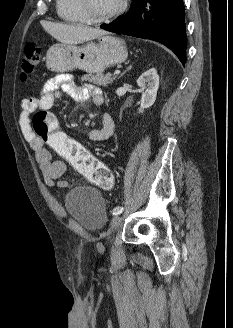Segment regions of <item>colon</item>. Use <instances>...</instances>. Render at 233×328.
I'll use <instances>...</instances> for the list:
<instances>
[{
  "instance_id": "1",
  "label": "colon",
  "mask_w": 233,
  "mask_h": 328,
  "mask_svg": "<svg viewBox=\"0 0 233 328\" xmlns=\"http://www.w3.org/2000/svg\"><path fill=\"white\" fill-rule=\"evenodd\" d=\"M40 57L41 49L38 46L32 43L25 46L22 60L23 78L35 71ZM32 123L35 135L68 161L82 175L103 190L113 189L114 177L111 170L80 143L61 131L53 113L39 110L34 114Z\"/></svg>"
}]
</instances>
